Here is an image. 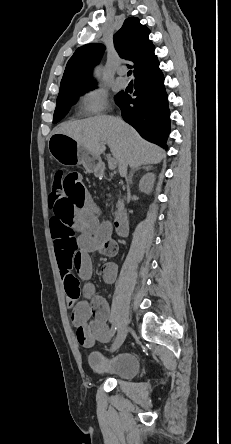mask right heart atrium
I'll return each instance as SVG.
<instances>
[{"mask_svg":"<svg viewBox=\"0 0 231 444\" xmlns=\"http://www.w3.org/2000/svg\"><path fill=\"white\" fill-rule=\"evenodd\" d=\"M80 112L84 115L101 114L108 108V97L104 90L97 87L86 89L79 102Z\"/></svg>","mask_w":231,"mask_h":444,"instance_id":"1","label":"right heart atrium"}]
</instances>
